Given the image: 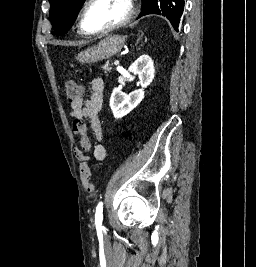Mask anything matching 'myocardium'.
Listing matches in <instances>:
<instances>
[{
    "label": "myocardium",
    "mask_w": 256,
    "mask_h": 267,
    "mask_svg": "<svg viewBox=\"0 0 256 267\" xmlns=\"http://www.w3.org/2000/svg\"><path fill=\"white\" fill-rule=\"evenodd\" d=\"M96 1H100V0L87 1L78 12V26H79L80 30L82 31V33L85 35L101 36V35L108 34L112 31L119 29L120 27L126 25L130 21L131 17L133 16V12H134L133 6L127 0H114L115 2L121 4L122 6L125 7V9H126L125 17L121 21L115 23L114 25L110 26L107 29L100 30V31H91V30L87 29L85 24H84V12L87 9V7H89L92 3L96 2Z\"/></svg>",
    "instance_id": "1"
}]
</instances>
